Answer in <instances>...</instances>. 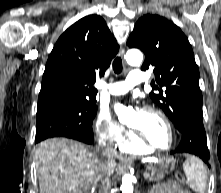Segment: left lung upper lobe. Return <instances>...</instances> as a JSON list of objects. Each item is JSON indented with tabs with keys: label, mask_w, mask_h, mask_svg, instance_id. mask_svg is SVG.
Returning <instances> with one entry per match:
<instances>
[{
	"label": "left lung upper lobe",
	"mask_w": 221,
	"mask_h": 193,
	"mask_svg": "<svg viewBox=\"0 0 221 193\" xmlns=\"http://www.w3.org/2000/svg\"><path fill=\"white\" fill-rule=\"evenodd\" d=\"M127 45L144 52L141 70H152L157 83L166 87L151 92L152 100L180 132L187 128L193 109L202 108L199 70L187 37L166 18L147 14L135 24Z\"/></svg>",
	"instance_id": "5c2ea615"
}]
</instances>
